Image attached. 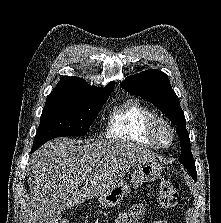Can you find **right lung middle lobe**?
Listing matches in <instances>:
<instances>
[{"mask_svg": "<svg viewBox=\"0 0 221 223\" xmlns=\"http://www.w3.org/2000/svg\"><path fill=\"white\" fill-rule=\"evenodd\" d=\"M107 99L46 103L32 151L55 137L86 135Z\"/></svg>", "mask_w": 221, "mask_h": 223, "instance_id": "obj_1", "label": "right lung middle lobe"}]
</instances>
